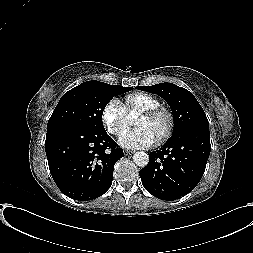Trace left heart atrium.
I'll return each instance as SVG.
<instances>
[{"instance_id":"1","label":"left heart atrium","mask_w":253,"mask_h":253,"mask_svg":"<svg viewBox=\"0 0 253 253\" xmlns=\"http://www.w3.org/2000/svg\"><path fill=\"white\" fill-rule=\"evenodd\" d=\"M157 141L150 130L138 128L120 137L119 144L127 149H144L155 145Z\"/></svg>"}]
</instances>
